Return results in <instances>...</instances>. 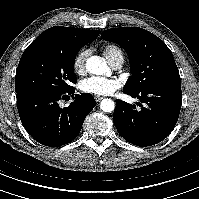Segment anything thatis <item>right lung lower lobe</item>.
Returning <instances> with one entry per match:
<instances>
[{
  "label": "right lung lower lobe",
  "mask_w": 199,
  "mask_h": 199,
  "mask_svg": "<svg viewBox=\"0 0 199 199\" xmlns=\"http://www.w3.org/2000/svg\"><path fill=\"white\" fill-rule=\"evenodd\" d=\"M71 88L65 92L28 90L17 93V108L27 132L45 146L59 147L76 138L85 117L96 102L89 93L75 94ZM72 95L74 101L61 108L59 100Z\"/></svg>",
  "instance_id": "1"
}]
</instances>
